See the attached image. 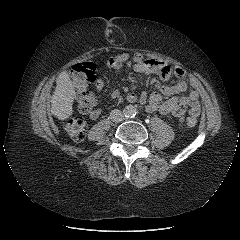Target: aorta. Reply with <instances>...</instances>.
I'll use <instances>...</instances> for the list:
<instances>
[{"mask_svg":"<svg viewBox=\"0 0 240 240\" xmlns=\"http://www.w3.org/2000/svg\"><path fill=\"white\" fill-rule=\"evenodd\" d=\"M123 113L126 117L128 118H132V117H135L136 114H137V110H136V107L133 106V105H127L124 110H123Z\"/></svg>","mask_w":240,"mask_h":240,"instance_id":"762f6f07","label":"aorta"}]
</instances>
